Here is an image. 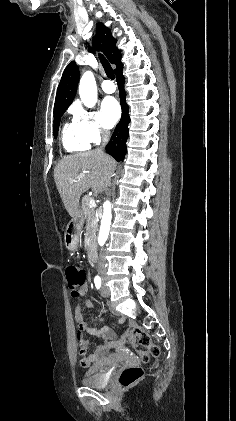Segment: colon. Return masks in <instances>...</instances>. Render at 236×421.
<instances>
[{"label":"colon","mask_w":236,"mask_h":421,"mask_svg":"<svg viewBox=\"0 0 236 421\" xmlns=\"http://www.w3.org/2000/svg\"><path fill=\"white\" fill-rule=\"evenodd\" d=\"M66 277L71 295L78 297L85 286L86 272L77 265L69 266ZM130 341L137 348L139 358L147 362L151 357H158L160 349L153 344L150 335L140 327H134L131 331ZM83 352V350L81 351ZM143 369L139 366H131L124 369L119 376V384L123 388H129L143 377Z\"/></svg>","instance_id":"colon-1"}]
</instances>
